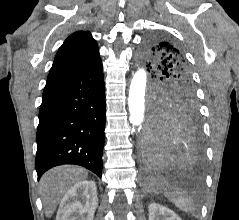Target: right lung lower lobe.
<instances>
[{"instance_id": "obj_1", "label": "right lung lower lobe", "mask_w": 239, "mask_h": 220, "mask_svg": "<svg viewBox=\"0 0 239 220\" xmlns=\"http://www.w3.org/2000/svg\"><path fill=\"white\" fill-rule=\"evenodd\" d=\"M105 89L101 60L66 77L48 81L39 110L35 167L81 165L102 174Z\"/></svg>"}]
</instances>
